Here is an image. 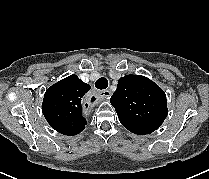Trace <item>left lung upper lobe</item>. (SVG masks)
<instances>
[{
	"mask_svg": "<svg viewBox=\"0 0 209 179\" xmlns=\"http://www.w3.org/2000/svg\"><path fill=\"white\" fill-rule=\"evenodd\" d=\"M110 102L124 127L144 134L159 128L168 113L164 91L141 75L121 77Z\"/></svg>",
	"mask_w": 209,
	"mask_h": 179,
	"instance_id": "left-lung-upper-lobe-1",
	"label": "left lung upper lobe"
}]
</instances>
